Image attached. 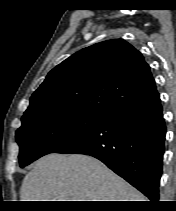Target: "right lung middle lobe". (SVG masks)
Listing matches in <instances>:
<instances>
[{
    "instance_id": "right-lung-middle-lobe-1",
    "label": "right lung middle lobe",
    "mask_w": 176,
    "mask_h": 211,
    "mask_svg": "<svg viewBox=\"0 0 176 211\" xmlns=\"http://www.w3.org/2000/svg\"><path fill=\"white\" fill-rule=\"evenodd\" d=\"M106 116L49 108L22 117V126L16 131L20 167L56 152L96 127Z\"/></svg>"
}]
</instances>
